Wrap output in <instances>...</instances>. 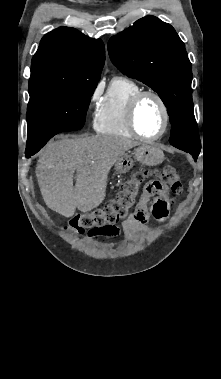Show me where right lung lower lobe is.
<instances>
[{"label": "right lung lower lobe", "mask_w": 221, "mask_h": 379, "mask_svg": "<svg viewBox=\"0 0 221 379\" xmlns=\"http://www.w3.org/2000/svg\"><path fill=\"white\" fill-rule=\"evenodd\" d=\"M43 147V146H29L27 145L26 147V152H25V156L26 158H29L31 155H34L37 151L40 150V148Z\"/></svg>", "instance_id": "right-lung-lower-lobe-1"}]
</instances>
